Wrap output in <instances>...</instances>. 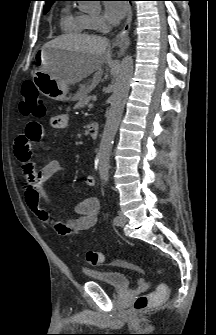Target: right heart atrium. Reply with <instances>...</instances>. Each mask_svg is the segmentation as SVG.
<instances>
[{
  "instance_id": "obj_1",
  "label": "right heart atrium",
  "mask_w": 216,
  "mask_h": 335,
  "mask_svg": "<svg viewBox=\"0 0 216 335\" xmlns=\"http://www.w3.org/2000/svg\"><path fill=\"white\" fill-rule=\"evenodd\" d=\"M89 17L94 30L102 32L107 28L106 23L101 16L95 15Z\"/></svg>"
}]
</instances>
